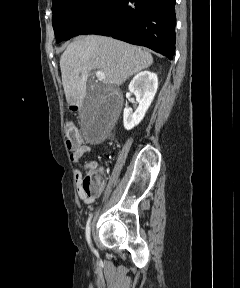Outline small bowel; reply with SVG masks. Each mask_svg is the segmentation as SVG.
I'll return each instance as SVG.
<instances>
[{
  "label": "small bowel",
  "instance_id": "small-bowel-1",
  "mask_svg": "<svg viewBox=\"0 0 240 288\" xmlns=\"http://www.w3.org/2000/svg\"><path fill=\"white\" fill-rule=\"evenodd\" d=\"M91 152V147L88 145H81L77 149H74L70 154V160L75 165L74 168V182L77 190V194L80 199L84 201L85 204H92L103 191L105 183L103 181V168L98 164L97 161H88L85 163L81 162V158ZM82 170L87 171V175L95 174L101 179V188L99 193L94 196L88 197L84 194L82 189Z\"/></svg>",
  "mask_w": 240,
  "mask_h": 288
}]
</instances>
